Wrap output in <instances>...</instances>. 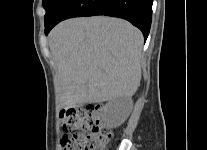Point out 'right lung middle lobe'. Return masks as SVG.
<instances>
[{"label": "right lung middle lobe", "mask_w": 207, "mask_h": 150, "mask_svg": "<svg viewBox=\"0 0 207 150\" xmlns=\"http://www.w3.org/2000/svg\"><path fill=\"white\" fill-rule=\"evenodd\" d=\"M65 0H43V7L46 10L45 23L49 22L56 14L59 7Z\"/></svg>", "instance_id": "dd1d6c3e"}]
</instances>
